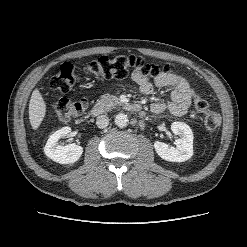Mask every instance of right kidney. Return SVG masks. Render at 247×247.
<instances>
[{"label":"right kidney","instance_id":"right-kidney-1","mask_svg":"<svg viewBox=\"0 0 247 247\" xmlns=\"http://www.w3.org/2000/svg\"><path fill=\"white\" fill-rule=\"evenodd\" d=\"M71 132L70 127H63L54 132L48 139L44 152L48 158L60 163L70 164L76 162L83 153V148L76 144L59 145V139Z\"/></svg>","mask_w":247,"mask_h":247}]
</instances>
